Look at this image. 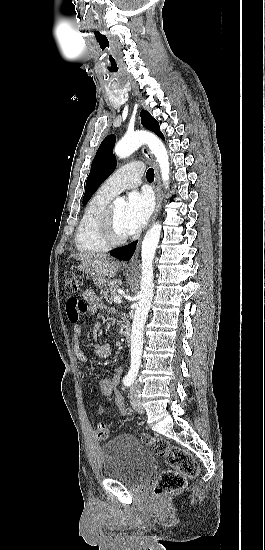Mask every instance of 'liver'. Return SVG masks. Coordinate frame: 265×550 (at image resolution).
I'll return each instance as SVG.
<instances>
[{
  "label": "liver",
  "instance_id": "obj_1",
  "mask_svg": "<svg viewBox=\"0 0 265 550\" xmlns=\"http://www.w3.org/2000/svg\"><path fill=\"white\" fill-rule=\"evenodd\" d=\"M78 261L90 267L103 279L113 278L121 267V263L110 259L105 254H79L72 255Z\"/></svg>",
  "mask_w": 265,
  "mask_h": 550
}]
</instances>
